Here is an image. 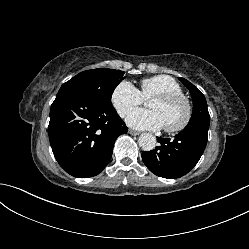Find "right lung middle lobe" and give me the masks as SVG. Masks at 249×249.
<instances>
[{
	"mask_svg": "<svg viewBox=\"0 0 249 249\" xmlns=\"http://www.w3.org/2000/svg\"><path fill=\"white\" fill-rule=\"evenodd\" d=\"M124 72L113 69L83 71L62 85L59 91H73L106 107H112L111 96L124 79Z\"/></svg>",
	"mask_w": 249,
	"mask_h": 249,
	"instance_id": "dd1d6c3e",
	"label": "right lung middle lobe"
}]
</instances>
